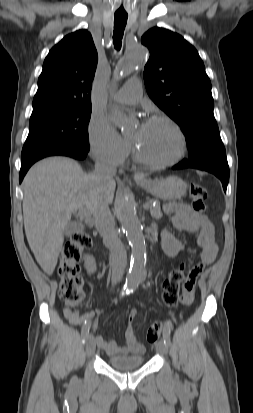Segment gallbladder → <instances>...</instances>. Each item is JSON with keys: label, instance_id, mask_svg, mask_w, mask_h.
<instances>
[{"label": "gallbladder", "instance_id": "bac80fb5", "mask_svg": "<svg viewBox=\"0 0 253 413\" xmlns=\"http://www.w3.org/2000/svg\"><path fill=\"white\" fill-rule=\"evenodd\" d=\"M80 225L76 221H70L66 224L63 234L65 236H70L72 233L79 231Z\"/></svg>", "mask_w": 253, "mask_h": 413}]
</instances>
